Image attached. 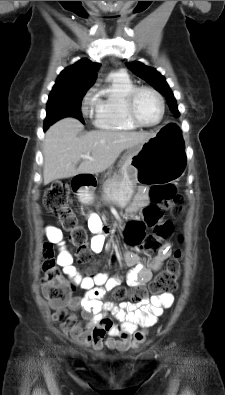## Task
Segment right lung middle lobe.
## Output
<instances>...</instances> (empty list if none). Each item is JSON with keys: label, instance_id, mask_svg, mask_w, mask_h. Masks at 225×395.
<instances>
[{"label": "right lung middle lobe", "instance_id": "1", "mask_svg": "<svg viewBox=\"0 0 225 395\" xmlns=\"http://www.w3.org/2000/svg\"><path fill=\"white\" fill-rule=\"evenodd\" d=\"M88 88L58 89L53 88L47 102L44 130L54 122L65 118L75 117L83 124L81 102Z\"/></svg>", "mask_w": 225, "mask_h": 395}]
</instances>
